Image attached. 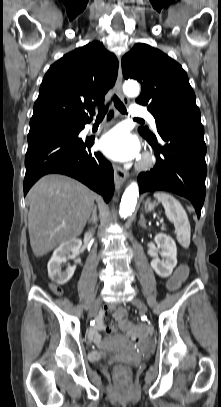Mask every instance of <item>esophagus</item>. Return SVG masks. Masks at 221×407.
I'll use <instances>...</instances> for the list:
<instances>
[{
	"label": "esophagus",
	"mask_w": 221,
	"mask_h": 407,
	"mask_svg": "<svg viewBox=\"0 0 221 407\" xmlns=\"http://www.w3.org/2000/svg\"><path fill=\"white\" fill-rule=\"evenodd\" d=\"M122 80H123L122 69H121V65L119 64L118 77L116 80V90H117V93H118L120 99L123 101V103L128 105L129 99L124 95V93L122 91ZM114 173H115L114 181H115L116 185L123 184L126 181V179L128 178V172L119 165L114 166Z\"/></svg>",
	"instance_id": "obj_1"
}]
</instances>
